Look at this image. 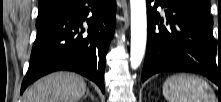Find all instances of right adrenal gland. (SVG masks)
Masks as SVG:
<instances>
[{"label": "right adrenal gland", "mask_w": 221, "mask_h": 102, "mask_svg": "<svg viewBox=\"0 0 221 102\" xmlns=\"http://www.w3.org/2000/svg\"><path fill=\"white\" fill-rule=\"evenodd\" d=\"M86 96H89L94 101V96L89 92V89L86 90Z\"/></svg>", "instance_id": "2a0ac1e0"}]
</instances>
